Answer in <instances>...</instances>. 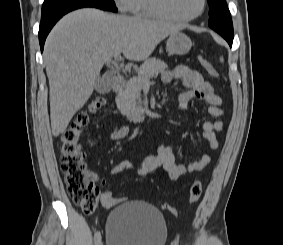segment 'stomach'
Wrapping results in <instances>:
<instances>
[{
	"label": "stomach",
	"mask_w": 283,
	"mask_h": 245,
	"mask_svg": "<svg viewBox=\"0 0 283 245\" xmlns=\"http://www.w3.org/2000/svg\"><path fill=\"white\" fill-rule=\"evenodd\" d=\"M191 39L184 33L177 31L170 34L167 42L166 49L168 54L184 55L191 49Z\"/></svg>",
	"instance_id": "0dacf381"
}]
</instances>
